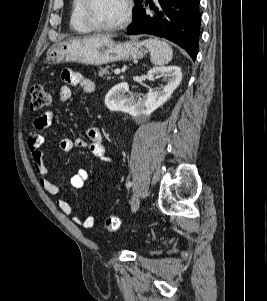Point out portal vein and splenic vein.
<instances>
[{"label":"portal vein and splenic vein","instance_id":"1","mask_svg":"<svg viewBox=\"0 0 267 301\" xmlns=\"http://www.w3.org/2000/svg\"><path fill=\"white\" fill-rule=\"evenodd\" d=\"M120 73H121V69L116 68V69L114 70V74L118 75V74H120Z\"/></svg>","mask_w":267,"mask_h":301}]
</instances>
